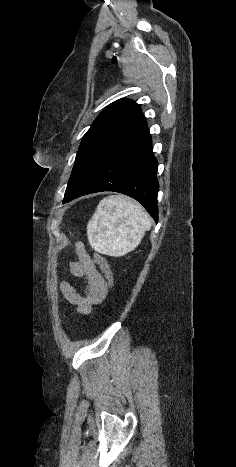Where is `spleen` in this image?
Returning a JSON list of instances; mask_svg holds the SVG:
<instances>
[{"label":"spleen","instance_id":"spleen-1","mask_svg":"<svg viewBox=\"0 0 236 467\" xmlns=\"http://www.w3.org/2000/svg\"><path fill=\"white\" fill-rule=\"evenodd\" d=\"M150 228L151 219L139 204L112 195L98 204L87 224V236L95 251L119 257L134 250Z\"/></svg>","mask_w":236,"mask_h":467}]
</instances>
